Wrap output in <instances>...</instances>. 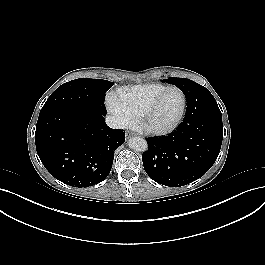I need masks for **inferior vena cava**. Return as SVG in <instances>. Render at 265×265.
Returning a JSON list of instances; mask_svg holds the SVG:
<instances>
[{"mask_svg":"<svg viewBox=\"0 0 265 265\" xmlns=\"http://www.w3.org/2000/svg\"><path fill=\"white\" fill-rule=\"evenodd\" d=\"M106 124L113 129H124L126 127V123L122 118L113 115L106 117Z\"/></svg>","mask_w":265,"mask_h":265,"instance_id":"1","label":"inferior vena cava"}]
</instances>
